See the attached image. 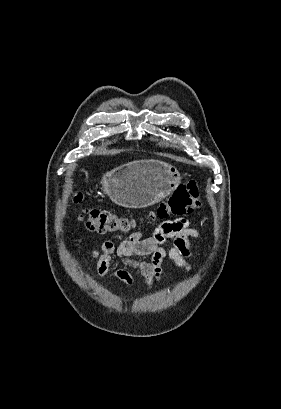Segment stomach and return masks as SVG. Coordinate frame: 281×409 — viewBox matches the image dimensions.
Returning a JSON list of instances; mask_svg holds the SVG:
<instances>
[{"instance_id": "obj_1", "label": "stomach", "mask_w": 281, "mask_h": 409, "mask_svg": "<svg viewBox=\"0 0 281 409\" xmlns=\"http://www.w3.org/2000/svg\"><path fill=\"white\" fill-rule=\"evenodd\" d=\"M181 178L173 164L142 158L109 170L103 174L101 184L105 194L119 207L143 209L169 196L179 186Z\"/></svg>"}]
</instances>
